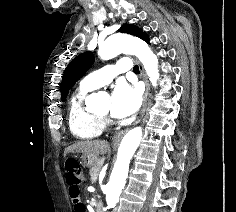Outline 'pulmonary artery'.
Instances as JSON below:
<instances>
[{
    "label": "pulmonary artery",
    "mask_w": 236,
    "mask_h": 212,
    "mask_svg": "<svg viewBox=\"0 0 236 212\" xmlns=\"http://www.w3.org/2000/svg\"><path fill=\"white\" fill-rule=\"evenodd\" d=\"M132 63L129 58H122L116 64L107 65L88 74L81 81L82 86L90 89H97L104 85L109 84L115 76L120 73L130 71Z\"/></svg>",
    "instance_id": "e3ab8cb5"
}]
</instances>
